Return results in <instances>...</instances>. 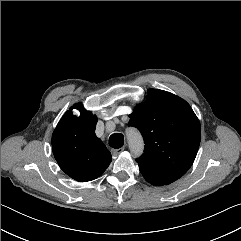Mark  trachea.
I'll use <instances>...</instances> for the list:
<instances>
[{"label": "trachea", "instance_id": "1", "mask_svg": "<svg viewBox=\"0 0 241 241\" xmlns=\"http://www.w3.org/2000/svg\"><path fill=\"white\" fill-rule=\"evenodd\" d=\"M124 144V136L120 133L112 134L109 138V145L112 148H121Z\"/></svg>", "mask_w": 241, "mask_h": 241}]
</instances>
